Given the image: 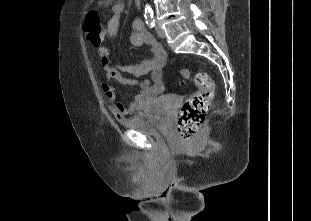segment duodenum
I'll return each instance as SVG.
<instances>
[{
    "label": "duodenum",
    "mask_w": 311,
    "mask_h": 221,
    "mask_svg": "<svg viewBox=\"0 0 311 221\" xmlns=\"http://www.w3.org/2000/svg\"><path fill=\"white\" fill-rule=\"evenodd\" d=\"M137 2H138V5H140V6L142 5V0H137Z\"/></svg>",
    "instance_id": "duodenum-1"
}]
</instances>
